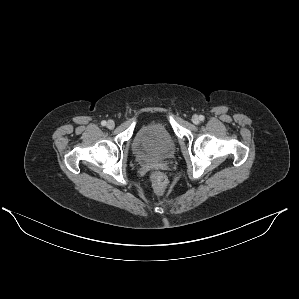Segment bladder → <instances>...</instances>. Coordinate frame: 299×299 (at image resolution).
Segmentation results:
<instances>
[{"label":"bladder","mask_w":299,"mask_h":299,"mask_svg":"<svg viewBox=\"0 0 299 299\" xmlns=\"http://www.w3.org/2000/svg\"><path fill=\"white\" fill-rule=\"evenodd\" d=\"M134 149L141 159L168 161L175 156L176 142L165 125L149 121L140 126L133 141Z\"/></svg>","instance_id":"obj_1"}]
</instances>
